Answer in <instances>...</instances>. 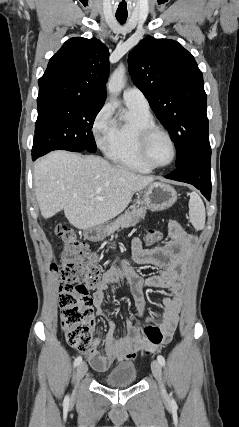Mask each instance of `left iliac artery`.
<instances>
[{
    "label": "left iliac artery",
    "mask_w": 239,
    "mask_h": 427,
    "mask_svg": "<svg viewBox=\"0 0 239 427\" xmlns=\"http://www.w3.org/2000/svg\"><path fill=\"white\" fill-rule=\"evenodd\" d=\"M157 360L162 366H165V358L162 355H158ZM172 403H174V400H172Z\"/></svg>",
    "instance_id": "left-iliac-artery-1"
}]
</instances>
